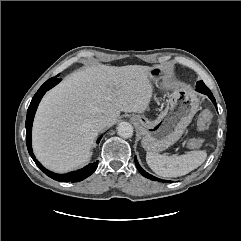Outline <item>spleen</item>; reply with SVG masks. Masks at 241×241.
<instances>
[{
	"instance_id": "3e777b00",
	"label": "spleen",
	"mask_w": 241,
	"mask_h": 241,
	"mask_svg": "<svg viewBox=\"0 0 241 241\" xmlns=\"http://www.w3.org/2000/svg\"><path fill=\"white\" fill-rule=\"evenodd\" d=\"M207 158L205 151H194L181 156H164L147 152L146 161L157 175L162 177H179L198 168Z\"/></svg>"
}]
</instances>
